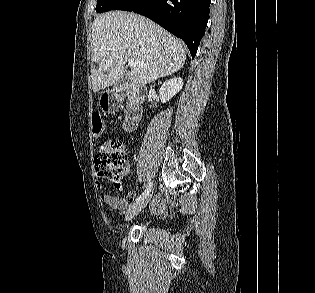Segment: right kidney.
<instances>
[{
	"label": "right kidney",
	"mask_w": 315,
	"mask_h": 293,
	"mask_svg": "<svg viewBox=\"0 0 315 293\" xmlns=\"http://www.w3.org/2000/svg\"><path fill=\"white\" fill-rule=\"evenodd\" d=\"M183 79L177 77L166 81L159 90V96L162 103H166L175 96L183 87Z\"/></svg>",
	"instance_id": "ca27d5eb"
}]
</instances>
